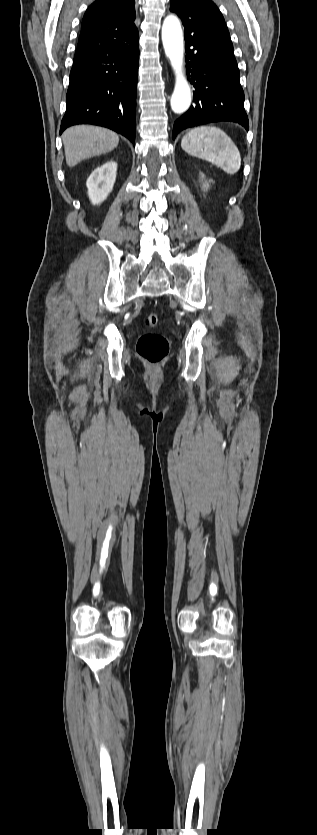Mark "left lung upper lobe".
<instances>
[{"label":"left lung upper lobe","instance_id":"left-lung-upper-lobe-1","mask_svg":"<svg viewBox=\"0 0 317 835\" xmlns=\"http://www.w3.org/2000/svg\"><path fill=\"white\" fill-rule=\"evenodd\" d=\"M170 11L177 13L184 27L191 26L193 20L200 18L225 23L221 12L211 0H170Z\"/></svg>","mask_w":317,"mask_h":835}]
</instances>
